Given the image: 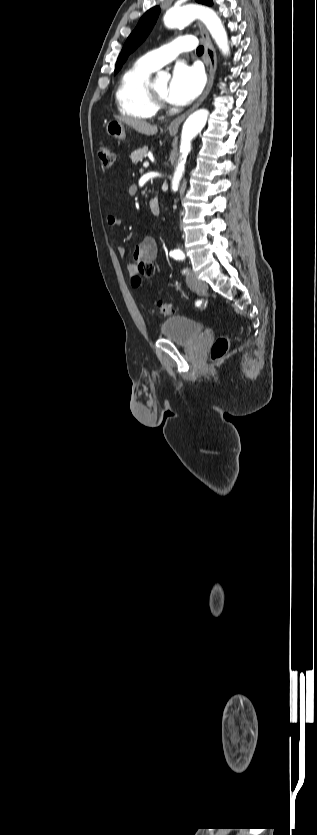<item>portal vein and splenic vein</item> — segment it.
Returning a JSON list of instances; mask_svg holds the SVG:
<instances>
[{
	"label": "portal vein and splenic vein",
	"mask_w": 317,
	"mask_h": 835,
	"mask_svg": "<svg viewBox=\"0 0 317 835\" xmlns=\"http://www.w3.org/2000/svg\"><path fill=\"white\" fill-rule=\"evenodd\" d=\"M149 166V162H144L143 167L147 168Z\"/></svg>",
	"instance_id": "1"
}]
</instances>
